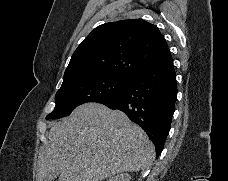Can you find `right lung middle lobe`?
I'll list each match as a JSON object with an SVG mask.
<instances>
[{
    "label": "right lung middle lobe",
    "instance_id": "right-lung-middle-lobe-1",
    "mask_svg": "<svg viewBox=\"0 0 228 181\" xmlns=\"http://www.w3.org/2000/svg\"><path fill=\"white\" fill-rule=\"evenodd\" d=\"M130 79L131 77L102 74L66 83L56 93V106L46 119L68 116L73 109L86 102L112 100L125 89Z\"/></svg>",
    "mask_w": 228,
    "mask_h": 181
}]
</instances>
